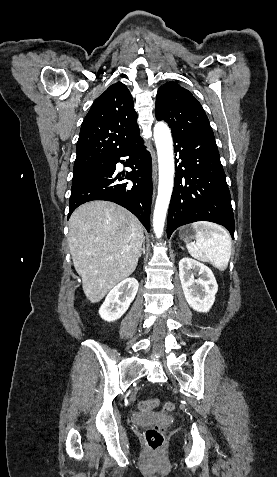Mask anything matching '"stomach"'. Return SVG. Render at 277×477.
Returning <instances> with one entry per match:
<instances>
[{
  "mask_svg": "<svg viewBox=\"0 0 277 477\" xmlns=\"http://www.w3.org/2000/svg\"><path fill=\"white\" fill-rule=\"evenodd\" d=\"M179 234H180V238L184 239L185 241H189V240H192L194 238V233L189 228L181 229Z\"/></svg>",
  "mask_w": 277,
  "mask_h": 477,
  "instance_id": "0dacf381",
  "label": "stomach"
}]
</instances>
